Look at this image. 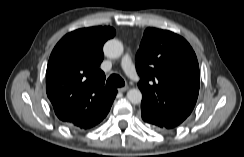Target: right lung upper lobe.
Returning <instances> with one entry per match:
<instances>
[{"label": "right lung upper lobe", "instance_id": "cb5924a9", "mask_svg": "<svg viewBox=\"0 0 244 157\" xmlns=\"http://www.w3.org/2000/svg\"><path fill=\"white\" fill-rule=\"evenodd\" d=\"M112 27H91L65 35L53 49L46 71V92L57 117L67 125L89 129L109 112L116 89L104 87L99 69L103 45Z\"/></svg>", "mask_w": 244, "mask_h": 157}]
</instances>
